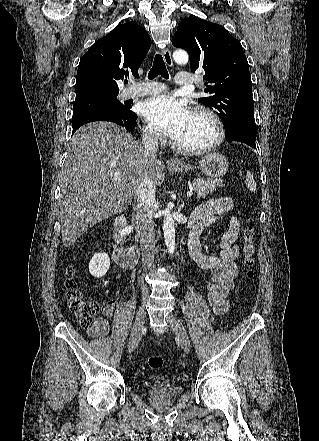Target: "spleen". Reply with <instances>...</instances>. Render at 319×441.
I'll use <instances>...</instances> for the list:
<instances>
[{"instance_id":"1","label":"spleen","mask_w":319,"mask_h":441,"mask_svg":"<svg viewBox=\"0 0 319 441\" xmlns=\"http://www.w3.org/2000/svg\"><path fill=\"white\" fill-rule=\"evenodd\" d=\"M246 185L247 188L252 192V191H256V182L254 180L253 175L250 172H247L246 175Z\"/></svg>"}]
</instances>
